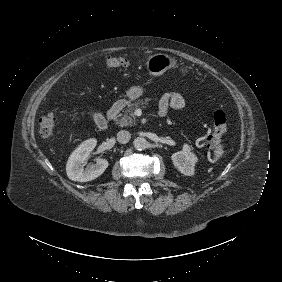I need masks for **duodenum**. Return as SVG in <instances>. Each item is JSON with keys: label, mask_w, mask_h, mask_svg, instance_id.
Returning a JSON list of instances; mask_svg holds the SVG:
<instances>
[{"label": "duodenum", "mask_w": 282, "mask_h": 282, "mask_svg": "<svg viewBox=\"0 0 282 282\" xmlns=\"http://www.w3.org/2000/svg\"><path fill=\"white\" fill-rule=\"evenodd\" d=\"M122 107H123V103L121 101L114 103L107 112V120L108 121L115 120Z\"/></svg>", "instance_id": "obj_1"}]
</instances>
